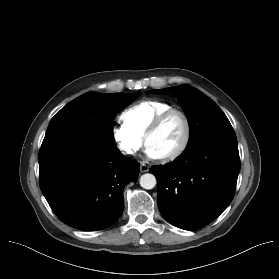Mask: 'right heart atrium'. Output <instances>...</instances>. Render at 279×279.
Wrapping results in <instances>:
<instances>
[{"label": "right heart atrium", "mask_w": 279, "mask_h": 279, "mask_svg": "<svg viewBox=\"0 0 279 279\" xmlns=\"http://www.w3.org/2000/svg\"><path fill=\"white\" fill-rule=\"evenodd\" d=\"M112 138L118 150L126 156H134L144 145L143 137L139 136L124 122H118L111 129Z\"/></svg>", "instance_id": "d8ad5b80"}]
</instances>
